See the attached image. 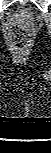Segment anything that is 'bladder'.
Returning a JSON list of instances; mask_svg holds the SVG:
<instances>
[{
	"label": "bladder",
	"instance_id": "bladder-1",
	"mask_svg": "<svg viewBox=\"0 0 51 153\" xmlns=\"http://www.w3.org/2000/svg\"><path fill=\"white\" fill-rule=\"evenodd\" d=\"M21 15L24 16V17H33V13L24 9L22 12H21Z\"/></svg>",
	"mask_w": 51,
	"mask_h": 153
}]
</instances>
